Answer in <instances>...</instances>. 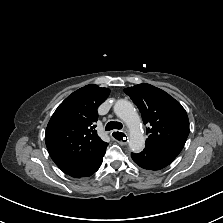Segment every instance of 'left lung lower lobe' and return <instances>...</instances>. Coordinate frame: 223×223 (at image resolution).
<instances>
[{
    "mask_svg": "<svg viewBox=\"0 0 223 223\" xmlns=\"http://www.w3.org/2000/svg\"><path fill=\"white\" fill-rule=\"evenodd\" d=\"M131 157L139 167L156 171L169 165L177 155L159 148L145 146L142 152L132 153Z\"/></svg>",
    "mask_w": 223,
    "mask_h": 223,
    "instance_id": "obj_1",
    "label": "left lung lower lobe"
}]
</instances>
